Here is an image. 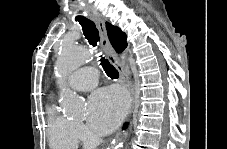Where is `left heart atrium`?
I'll list each match as a JSON object with an SVG mask.
<instances>
[{"label":"left heart atrium","instance_id":"left-heart-atrium-1","mask_svg":"<svg viewBox=\"0 0 227 149\" xmlns=\"http://www.w3.org/2000/svg\"><path fill=\"white\" fill-rule=\"evenodd\" d=\"M88 124L93 131L106 134L112 131L123 118L127 99L116 87L100 89L92 94L89 100Z\"/></svg>","mask_w":227,"mask_h":149}]
</instances>
